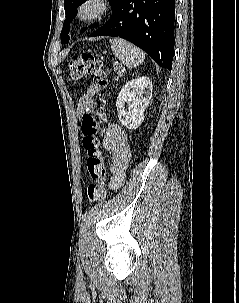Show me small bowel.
<instances>
[{"label":"small bowel","mask_w":239,"mask_h":303,"mask_svg":"<svg viewBox=\"0 0 239 303\" xmlns=\"http://www.w3.org/2000/svg\"><path fill=\"white\" fill-rule=\"evenodd\" d=\"M98 87L92 84L79 103V111L83 112L88 101L97 92ZM101 148L111 154L110 182L113 190L121 188L126 179L132 148L125 131L118 124H108L101 138Z\"/></svg>","instance_id":"obj_1"}]
</instances>
